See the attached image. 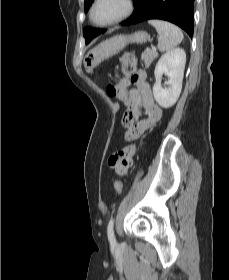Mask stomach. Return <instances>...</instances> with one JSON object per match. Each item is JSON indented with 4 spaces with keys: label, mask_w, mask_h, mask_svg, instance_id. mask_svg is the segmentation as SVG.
Listing matches in <instances>:
<instances>
[{
    "label": "stomach",
    "mask_w": 229,
    "mask_h": 280,
    "mask_svg": "<svg viewBox=\"0 0 229 280\" xmlns=\"http://www.w3.org/2000/svg\"><path fill=\"white\" fill-rule=\"evenodd\" d=\"M150 36L145 31H137L130 35H116L97 47L88 51L83 59V65L87 72H92L102 61L122 51L129 43H145Z\"/></svg>",
    "instance_id": "0dacf381"
}]
</instances>
